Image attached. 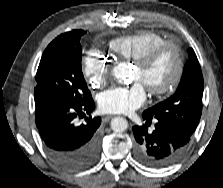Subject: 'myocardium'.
I'll return each mask as SVG.
<instances>
[{
  "mask_svg": "<svg viewBox=\"0 0 223 188\" xmlns=\"http://www.w3.org/2000/svg\"><path fill=\"white\" fill-rule=\"evenodd\" d=\"M170 49L174 53L175 57V69L169 82L161 88H149L148 92L152 96H166L171 94L181 82L184 71L185 61L182 48L174 41H163L162 43L152 47L146 53H144L139 59L134 61V64L140 70L148 68L158 56L165 50Z\"/></svg>",
  "mask_w": 223,
  "mask_h": 188,
  "instance_id": "f54148a6",
  "label": "myocardium"
}]
</instances>
